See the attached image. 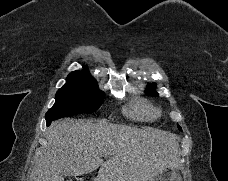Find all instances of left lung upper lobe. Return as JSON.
Segmentation results:
<instances>
[{
  "label": "left lung upper lobe",
  "mask_w": 228,
  "mask_h": 181,
  "mask_svg": "<svg viewBox=\"0 0 228 181\" xmlns=\"http://www.w3.org/2000/svg\"><path fill=\"white\" fill-rule=\"evenodd\" d=\"M155 86H156L155 83L150 84V85L147 87V90H146V91H147L149 94H151V95L157 96L158 93L154 91ZM178 128L181 130V127H180V126H178Z\"/></svg>",
  "instance_id": "1"
}]
</instances>
